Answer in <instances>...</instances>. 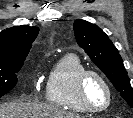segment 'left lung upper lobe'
<instances>
[{"label": "left lung upper lobe", "instance_id": "1", "mask_svg": "<svg viewBox=\"0 0 133 118\" xmlns=\"http://www.w3.org/2000/svg\"><path fill=\"white\" fill-rule=\"evenodd\" d=\"M73 29L79 46L133 108V89L129 77L118 50L108 36L97 25L81 19L74 22Z\"/></svg>", "mask_w": 133, "mask_h": 118}]
</instances>
